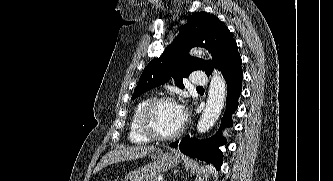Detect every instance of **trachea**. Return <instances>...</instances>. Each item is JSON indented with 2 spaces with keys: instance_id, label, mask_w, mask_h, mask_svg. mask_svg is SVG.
Wrapping results in <instances>:
<instances>
[{
  "instance_id": "trachea-1",
  "label": "trachea",
  "mask_w": 333,
  "mask_h": 181,
  "mask_svg": "<svg viewBox=\"0 0 333 181\" xmlns=\"http://www.w3.org/2000/svg\"><path fill=\"white\" fill-rule=\"evenodd\" d=\"M197 89H203V87H197Z\"/></svg>"
}]
</instances>
